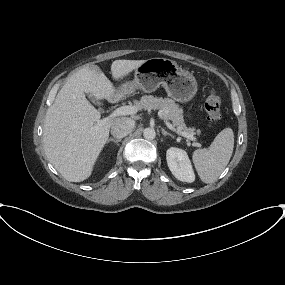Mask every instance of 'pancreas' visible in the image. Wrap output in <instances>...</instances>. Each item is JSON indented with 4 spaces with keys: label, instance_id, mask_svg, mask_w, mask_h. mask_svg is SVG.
Listing matches in <instances>:
<instances>
[{
    "label": "pancreas",
    "instance_id": "pancreas-1",
    "mask_svg": "<svg viewBox=\"0 0 285 285\" xmlns=\"http://www.w3.org/2000/svg\"><path fill=\"white\" fill-rule=\"evenodd\" d=\"M137 106L148 111L157 109L162 110L164 111L165 118L170 120L174 127L188 134H195V129L187 128L184 123L182 114L183 109L172 99L145 95L142 96L140 102H137ZM197 133H200V131H197Z\"/></svg>",
    "mask_w": 285,
    "mask_h": 285
}]
</instances>
